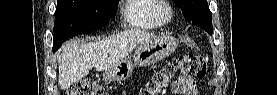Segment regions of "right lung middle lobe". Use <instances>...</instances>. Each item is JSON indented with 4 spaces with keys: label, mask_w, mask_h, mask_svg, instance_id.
Here are the masks:
<instances>
[{
    "label": "right lung middle lobe",
    "mask_w": 277,
    "mask_h": 95,
    "mask_svg": "<svg viewBox=\"0 0 277 95\" xmlns=\"http://www.w3.org/2000/svg\"><path fill=\"white\" fill-rule=\"evenodd\" d=\"M119 0H57L53 50L70 37L95 31L115 16Z\"/></svg>",
    "instance_id": "1"
}]
</instances>
